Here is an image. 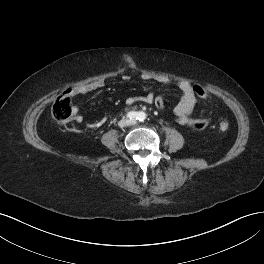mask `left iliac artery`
<instances>
[{
    "mask_svg": "<svg viewBox=\"0 0 264 264\" xmlns=\"http://www.w3.org/2000/svg\"><path fill=\"white\" fill-rule=\"evenodd\" d=\"M146 119V114L144 112H139L138 114V120L144 121Z\"/></svg>",
    "mask_w": 264,
    "mask_h": 264,
    "instance_id": "obj_1",
    "label": "left iliac artery"
}]
</instances>
